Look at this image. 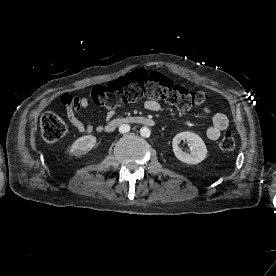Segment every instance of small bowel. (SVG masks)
Wrapping results in <instances>:
<instances>
[{"label": "small bowel", "instance_id": "c3829d8e", "mask_svg": "<svg viewBox=\"0 0 276 276\" xmlns=\"http://www.w3.org/2000/svg\"><path fill=\"white\" fill-rule=\"evenodd\" d=\"M61 103L65 107L68 121L80 133H92L94 131H101L102 126H94L91 123L84 122L79 118V115L86 111L89 107L87 98L82 96H72L65 94L61 97ZM144 107L149 111H158L160 104L155 100H147L144 102ZM206 113H210L208 108H204ZM115 110H111L108 116H112ZM229 126L228 117L221 112L214 113L211 120V126L207 129V137L210 140H217L222 131L226 130Z\"/></svg>", "mask_w": 276, "mask_h": 276}]
</instances>
